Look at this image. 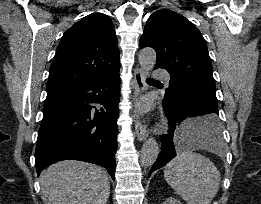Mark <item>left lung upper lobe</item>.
Wrapping results in <instances>:
<instances>
[{"instance_id": "5c2ea615", "label": "left lung upper lobe", "mask_w": 261, "mask_h": 204, "mask_svg": "<svg viewBox=\"0 0 261 204\" xmlns=\"http://www.w3.org/2000/svg\"><path fill=\"white\" fill-rule=\"evenodd\" d=\"M139 46L152 47L157 54L156 68L169 72L165 96L189 87L217 101L206 42L188 19L169 9L154 12L146 22Z\"/></svg>"}]
</instances>
